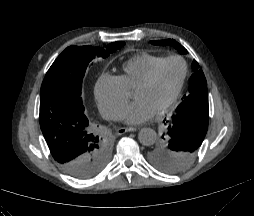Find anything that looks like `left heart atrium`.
Listing matches in <instances>:
<instances>
[{
    "label": "left heart atrium",
    "mask_w": 254,
    "mask_h": 216,
    "mask_svg": "<svg viewBox=\"0 0 254 216\" xmlns=\"http://www.w3.org/2000/svg\"><path fill=\"white\" fill-rule=\"evenodd\" d=\"M156 113V109L148 102L136 99L125 109L123 120L129 125L141 124L154 117Z\"/></svg>",
    "instance_id": "obj_1"
}]
</instances>
